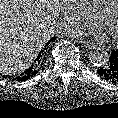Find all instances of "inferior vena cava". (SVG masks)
I'll return each mask as SVG.
<instances>
[{
  "label": "inferior vena cava",
  "instance_id": "602c4592",
  "mask_svg": "<svg viewBox=\"0 0 118 118\" xmlns=\"http://www.w3.org/2000/svg\"><path fill=\"white\" fill-rule=\"evenodd\" d=\"M63 29V26H56V32H59Z\"/></svg>",
  "mask_w": 118,
  "mask_h": 118
}]
</instances>
